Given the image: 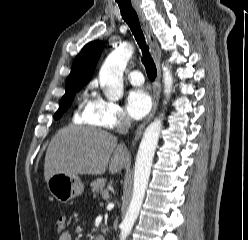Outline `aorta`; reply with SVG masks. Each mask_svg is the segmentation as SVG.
<instances>
[{"label": "aorta", "instance_id": "762f6f07", "mask_svg": "<svg viewBox=\"0 0 248 240\" xmlns=\"http://www.w3.org/2000/svg\"><path fill=\"white\" fill-rule=\"evenodd\" d=\"M133 52L132 45L124 44L111 52L101 67L99 81L109 100L116 101L123 96V71ZM163 81L164 92L168 98L172 90L173 77L167 67L163 69ZM161 126L162 119H155L147 126L143 134L135 162L132 199L120 225V240L127 239L142 207Z\"/></svg>", "mask_w": 248, "mask_h": 240}]
</instances>
